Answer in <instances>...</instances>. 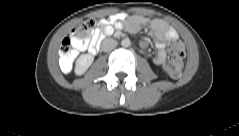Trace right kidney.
Wrapping results in <instances>:
<instances>
[{"label":"right kidney","mask_w":239,"mask_h":136,"mask_svg":"<svg viewBox=\"0 0 239 136\" xmlns=\"http://www.w3.org/2000/svg\"><path fill=\"white\" fill-rule=\"evenodd\" d=\"M94 60V57L90 54H83L81 55L75 65V73L76 75H82L84 74L87 69L90 67Z\"/></svg>","instance_id":"right-kidney-1"}]
</instances>
